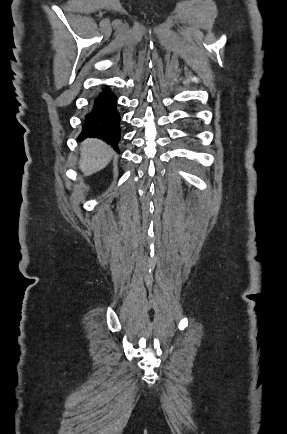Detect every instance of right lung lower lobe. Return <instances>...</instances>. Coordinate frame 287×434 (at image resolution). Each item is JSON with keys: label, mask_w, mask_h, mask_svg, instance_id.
Segmentation results:
<instances>
[{"label": "right lung lower lobe", "mask_w": 287, "mask_h": 434, "mask_svg": "<svg viewBox=\"0 0 287 434\" xmlns=\"http://www.w3.org/2000/svg\"><path fill=\"white\" fill-rule=\"evenodd\" d=\"M120 121L117 97L108 87L103 88L92 101L91 111L85 117L81 135L83 138H100L118 150Z\"/></svg>", "instance_id": "98d812e1"}]
</instances>
